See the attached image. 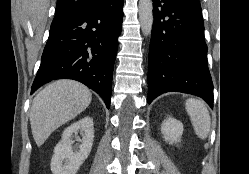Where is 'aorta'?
Wrapping results in <instances>:
<instances>
[{"mask_svg":"<svg viewBox=\"0 0 249 174\" xmlns=\"http://www.w3.org/2000/svg\"><path fill=\"white\" fill-rule=\"evenodd\" d=\"M153 20L154 18L152 0H139V21L141 30L145 36L151 34Z\"/></svg>","mask_w":249,"mask_h":174,"instance_id":"aorta-1","label":"aorta"}]
</instances>
